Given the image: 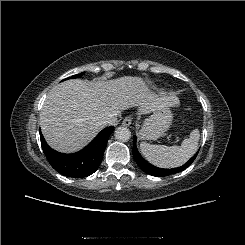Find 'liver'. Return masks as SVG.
<instances>
[{
    "label": "liver",
    "mask_w": 245,
    "mask_h": 245,
    "mask_svg": "<svg viewBox=\"0 0 245 245\" xmlns=\"http://www.w3.org/2000/svg\"><path fill=\"white\" fill-rule=\"evenodd\" d=\"M175 105H178L175 96H159L140 77L94 82L73 79L50 90L39 122L45 140L53 149L73 153L91 142L110 116L130 107L149 114Z\"/></svg>",
    "instance_id": "obj_1"
}]
</instances>
